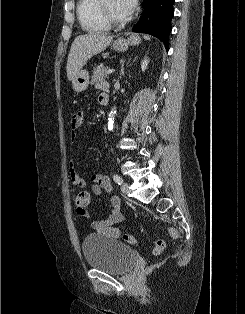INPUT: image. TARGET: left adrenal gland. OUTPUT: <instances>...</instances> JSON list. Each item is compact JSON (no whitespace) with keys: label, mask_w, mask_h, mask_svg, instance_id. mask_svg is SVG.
Wrapping results in <instances>:
<instances>
[{"label":"left adrenal gland","mask_w":245,"mask_h":314,"mask_svg":"<svg viewBox=\"0 0 245 314\" xmlns=\"http://www.w3.org/2000/svg\"><path fill=\"white\" fill-rule=\"evenodd\" d=\"M124 65H125V60L122 61V64H121L120 77L121 75H124Z\"/></svg>","instance_id":"1"}]
</instances>
